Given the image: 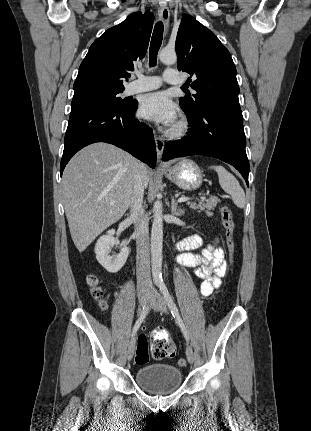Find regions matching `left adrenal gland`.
Instances as JSON below:
<instances>
[{
  "mask_svg": "<svg viewBox=\"0 0 311 431\" xmlns=\"http://www.w3.org/2000/svg\"><path fill=\"white\" fill-rule=\"evenodd\" d=\"M171 214H175V216H183L184 210H181V206L176 204V200L172 198L171 200Z\"/></svg>",
  "mask_w": 311,
  "mask_h": 431,
  "instance_id": "a2214340",
  "label": "left adrenal gland"
}]
</instances>
